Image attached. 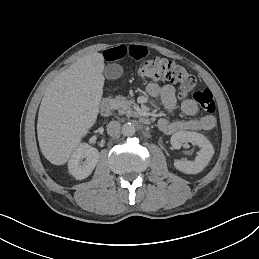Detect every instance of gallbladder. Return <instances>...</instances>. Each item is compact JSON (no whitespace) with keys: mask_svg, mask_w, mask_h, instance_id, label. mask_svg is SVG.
I'll list each match as a JSON object with an SVG mask.
<instances>
[{"mask_svg":"<svg viewBox=\"0 0 259 259\" xmlns=\"http://www.w3.org/2000/svg\"><path fill=\"white\" fill-rule=\"evenodd\" d=\"M122 72V67L117 64H110L103 71L107 79H117L121 76Z\"/></svg>","mask_w":259,"mask_h":259,"instance_id":"1","label":"gallbladder"}]
</instances>
